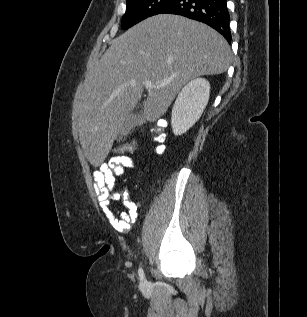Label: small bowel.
I'll use <instances>...</instances> for the list:
<instances>
[{
    "label": "small bowel",
    "mask_w": 307,
    "mask_h": 317,
    "mask_svg": "<svg viewBox=\"0 0 307 317\" xmlns=\"http://www.w3.org/2000/svg\"><path fill=\"white\" fill-rule=\"evenodd\" d=\"M135 160L130 155H114L102 163L93 173L94 188L103 212L111 226L118 232L127 233L137 220L138 206L126 189L116 190V177H121L126 170L134 169ZM122 201L126 211H115L113 204Z\"/></svg>",
    "instance_id": "small-bowel-1"
}]
</instances>
